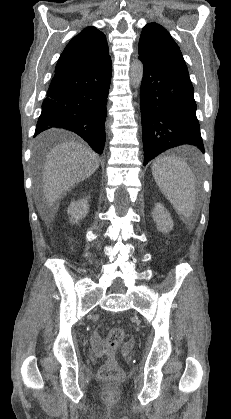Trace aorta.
I'll use <instances>...</instances> for the list:
<instances>
[{
    "label": "aorta",
    "instance_id": "1",
    "mask_svg": "<svg viewBox=\"0 0 231 419\" xmlns=\"http://www.w3.org/2000/svg\"><path fill=\"white\" fill-rule=\"evenodd\" d=\"M143 73H144L143 63L138 59L133 60V62L131 63L130 72H129L130 82H131L132 87L138 88L140 86L142 82V78H143Z\"/></svg>",
    "mask_w": 231,
    "mask_h": 419
}]
</instances>
